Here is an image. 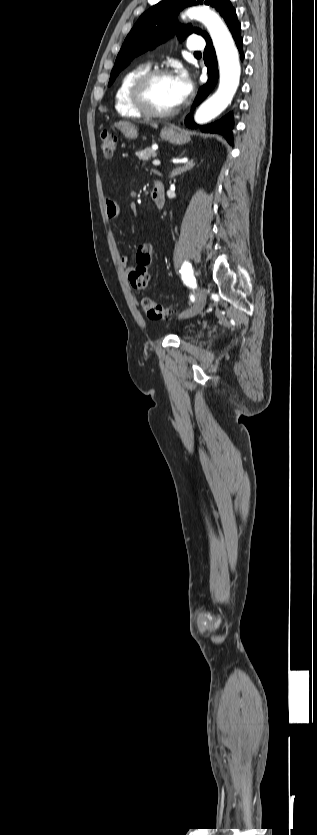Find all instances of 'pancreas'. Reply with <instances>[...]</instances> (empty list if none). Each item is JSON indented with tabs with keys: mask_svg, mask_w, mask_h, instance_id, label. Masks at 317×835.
Masks as SVG:
<instances>
[{
	"mask_svg": "<svg viewBox=\"0 0 317 835\" xmlns=\"http://www.w3.org/2000/svg\"><path fill=\"white\" fill-rule=\"evenodd\" d=\"M135 155L142 161H148L151 157L155 158L157 156L155 150L151 148H146L145 150L138 151Z\"/></svg>",
	"mask_w": 317,
	"mask_h": 835,
	"instance_id": "cf45deb5",
	"label": "pancreas"
}]
</instances>
